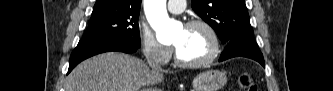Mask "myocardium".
Here are the masks:
<instances>
[{
  "instance_id": "myocardium-1",
  "label": "myocardium",
  "mask_w": 333,
  "mask_h": 91,
  "mask_svg": "<svg viewBox=\"0 0 333 91\" xmlns=\"http://www.w3.org/2000/svg\"><path fill=\"white\" fill-rule=\"evenodd\" d=\"M186 28H191V27H202L205 29V31L208 33L210 36L211 42H212V49L210 54L199 61H186L183 58H181L178 49L174 46V51H175V63L183 68H201L204 66H207L211 64L213 61L217 59V57L220 54V39L218 36L217 31L215 28L209 24L208 22L200 19H193L188 21L185 24Z\"/></svg>"
}]
</instances>
